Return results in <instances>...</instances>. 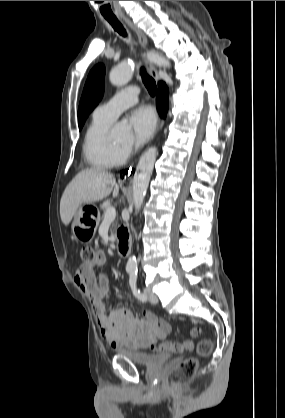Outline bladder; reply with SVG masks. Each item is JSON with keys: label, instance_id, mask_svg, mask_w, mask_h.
<instances>
[{"label": "bladder", "instance_id": "31cf9c89", "mask_svg": "<svg viewBox=\"0 0 285 418\" xmlns=\"http://www.w3.org/2000/svg\"><path fill=\"white\" fill-rule=\"evenodd\" d=\"M116 354L118 356H126L137 365L147 368L159 366L170 357L168 353H143L125 347L116 349Z\"/></svg>", "mask_w": 285, "mask_h": 418}]
</instances>
